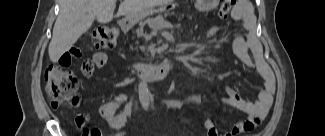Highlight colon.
<instances>
[{
  "mask_svg": "<svg viewBox=\"0 0 325 136\" xmlns=\"http://www.w3.org/2000/svg\"><path fill=\"white\" fill-rule=\"evenodd\" d=\"M234 0H223L218 15L221 19L228 17ZM119 36L117 28L100 26L89 32L87 36L90 47L94 49L113 48ZM46 91L53 106L64 103L76 104L75 92L78 88L77 78L68 75L60 66L50 65L45 71ZM83 136H101L97 129H84Z\"/></svg>",
  "mask_w": 325,
  "mask_h": 136,
  "instance_id": "colon-1",
  "label": "colon"
}]
</instances>
